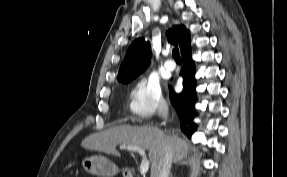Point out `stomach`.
Listing matches in <instances>:
<instances>
[{"instance_id":"0dacf381","label":"stomach","mask_w":287,"mask_h":177,"mask_svg":"<svg viewBox=\"0 0 287 177\" xmlns=\"http://www.w3.org/2000/svg\"><path fill=\"white\" fill-rule=\"evenodd\" d=\"M81 165L85 172L98 177H113L120 171L113 162L102 155L85 156Z\"/></svg>"}]
</instances>
